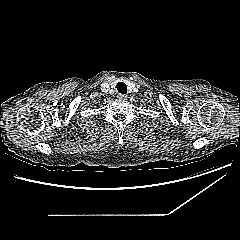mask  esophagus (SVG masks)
Segmentation results:
<instances>
[{
  "label": "esophagus",
  "mask_w": 240,
  "mask_h": 240,
  "mask_svg": "<svg viewBox=\"0 0 240 240\" xmlns=\"http://www.w3.org/2000/svg\"><path fill=\"white\" fill-rule=\"evenodd\" d=\"M120 100L126 99L127 95L126 94H118L117 96Z\"/></svg>",
  "instance_id": "34e87169"
}]
</instances>
